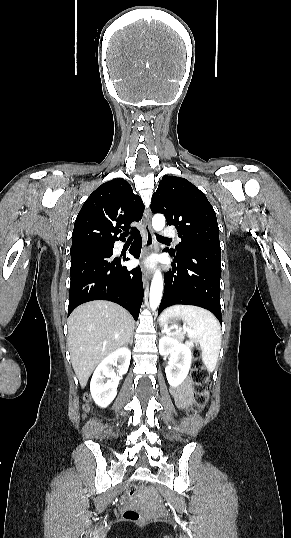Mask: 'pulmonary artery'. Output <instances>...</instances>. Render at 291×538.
Masks as SVG:
<instances>
[{
    "mask_svg": "<svg viewBox=\"0 0 291 538\" xmlns=\"http://www.w3.org/2000/svg\"><path fill=\"white\" fill-rule=\"evenodd\" d=\"M162 236L165 238H175L176 242H180V238L176 235L173 229L165 228L162 232Z\"/></svg>",
    "mask_w": 291,
    "mask_h": 538,
    "instance_id": "pulmonary-artery-1",
    "label": "pulmonary artery"
}]
</instances>
